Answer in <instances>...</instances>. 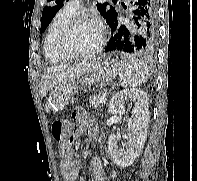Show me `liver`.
I'll return each instance as SVG.
<instances>
[{
	"instance_id": "obj_1",
	"label": "liver",
	"mask_w": 197,
	"mask_h": 181,
	"mask_svg": "<svg viewBox=\"0 0 197 181\" xmlns=\"http://www.w3.org/2000/svg\"><path fill=\"white\" fill-rule=\"evenodd\" d=\"M90 63L63 64L52 66L42 74L39 83V95L41 98L47 95L56 85L64 81H72L84 75L89 69Z\"/></svg>"
}]
</instances>
